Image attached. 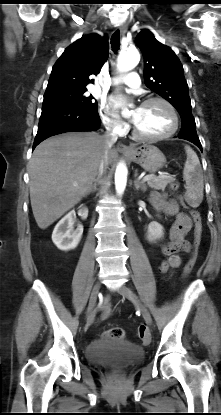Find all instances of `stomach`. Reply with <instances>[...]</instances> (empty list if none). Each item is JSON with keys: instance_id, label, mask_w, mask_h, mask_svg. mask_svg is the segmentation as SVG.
<instances>
[{"instance_id": "obj_1", "label": "stomach", "mask_w": 221, "mask_h": 415, "mask_svg": "<svg viewBox=\"0 0 221 415\" xmlns=\"http://www.w3.org/2000/svg\"><path fill=\"white\" fill-rule=\"evenodd\" d=\"M126 155L150 173L160 170L166 163L165 155L156 146L148 143L134 147Z\"/></svg>"}]
</instances>
